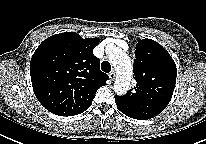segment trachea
<instances>
[{
    "label": "trachea",
    "instance_id": "3493384b",
    "mask_svg": "<svg viewBox=\"0 0 206 144\" xmlns=\"http://www.w3.org/2000/svg\"><path fill=\"white\" fill-rule=\"evenodd\" d=\"M101 69L102 71H104L105 73H109L111 71V65L108 61H103L101 63Z\"/></svg>",
    "mask_w": 206,
    "mask_h": 144
}]
</instances>
